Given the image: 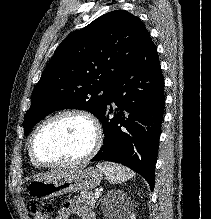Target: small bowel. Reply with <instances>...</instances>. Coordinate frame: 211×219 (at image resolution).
I'll return each mask as SVG.
<instances>
[{
  "label": "small bowel",
  "mask_w": 211,
  "mask_h": 219,
  "mask_svg": "<svg viewBox=\"0 0 211 219\" xmlns=\"http://www.w3.org/2000/svg\"><path fill=\"white\" fill-rule=\"evenodd\" d=\"M72 214L77 215L81 219H96L94 213L78 200L66 202L55 219H69Z\"/></svg>",
  "instance_id": "small-bowel-1"
}]
</instances>
